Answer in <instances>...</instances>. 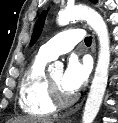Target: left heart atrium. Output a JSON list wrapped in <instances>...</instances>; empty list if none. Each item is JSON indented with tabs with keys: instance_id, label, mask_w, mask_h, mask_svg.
Masks as SVG:
<instances>
[{
	"instance_id": "left-heart-atrium-1",
	"label": "left heart atrium",
	"mask_w": 118,
	"mask_h": 123,
	"mask_svg": "<svg viewBox=\"0 0 118 123\" xmlns=\"http://www.w3.org/2000/svg\"><path fill=\"white\" fill-rule=\"evenodd\" d=\"M89 72L87 62H81L76 56H71L63 74V87L71 94L75 93L86 83Z\"/></svg>"
}]
</instances>
